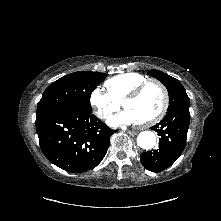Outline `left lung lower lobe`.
Returning a JSON list of instances; mask_svg holds the SVG:
<instances>
[{"mask_svg":"<svg viewBox=\"0 0 221 221\" xmlns=\"http://www.w3.org/2000/svg\"><path fill=\"white\" fill-rule=\"evenodd\" d=\"M189 122V108H178L168 111L161 122L151 127L160 138L158 149L140 155L141 163L147 170L160 172L180 157L186 144Z\"/></svg>","mask_w":221,"mask_h":221,"instance_id":"left-lung-lower-lobe-1","label":"left lung lower lobe"}]
</instances>
